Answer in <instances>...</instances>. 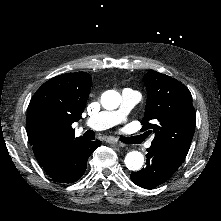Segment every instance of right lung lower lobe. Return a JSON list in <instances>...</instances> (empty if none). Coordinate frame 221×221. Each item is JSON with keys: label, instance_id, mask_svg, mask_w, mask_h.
Instances as JSON below:
<instances>
[{"label": "right lung lower lobe", "instance_id": "right-lung-lower-lobe-1", "mask_svg": "<svg viewBox=\"0 0 221 221\" xmlns=\"http://www.w3.org/2000/svg\"><path fill=\"white\" fill-rule=\"evenodd\" d=\"M100 145L99 140L87 141L84 138L75 140L41 166L55 181L73 183L84 174L89 156Z\"/></svg>", "mask_w": 221, "mask_h": 221}]
</instances>
